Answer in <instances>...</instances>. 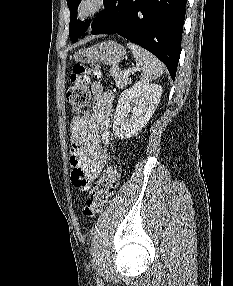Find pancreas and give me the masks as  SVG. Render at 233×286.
<instances>
[{"label": "pancreas", "mask_w": 233, "mask_h": 286, "mask_svg": "<svg viewBox=\"0 0 233 286\" xmlns=\"http://www.w3.org/2000/svg\"><path fill=\"white\" fill-rule=\"evenodd\" d=\"M110 75L114 78L116 87L117 88H123L124 86L130 84V79L129 77L124 76V72L116 69V68H111L109 70Z\"/></svg>", "instance_id": "cf45deb5"}]
</instances>
